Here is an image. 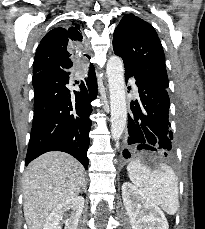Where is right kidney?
<instances>
[{"mask_svg":"<svg viewBox=\"0 0 205 229\" xmlns=\"http://www.w3.org/2000/svg\"><path fill=\"white\" fill-rule=\"evenodd\" d=\"M84 207V198L77 196L58 204L46 219L43 229H61L60 222L64 221V229H77L79 218ZM68 210H71L69 218L64 219Z\"/></svg>","mask_w":205,"mask_h":229,"instance_id":"right-kidney-1","label":"right kidney"}]
</instances>
